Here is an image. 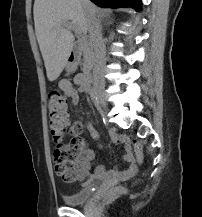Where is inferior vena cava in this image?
Returning <instances> with one entry per match:
<instances>
[{
    "mask_svg": "<svg viewBox=\"0 0 202 217\" xmlns=\"http://www.w3.org/2000/svg\"><path fill=\"white\" fill-rule=\"evenodd\" d=\"M101 26L98 19L94 15L89 16L88 32L90 36V42L94 50V68L93 78L94 85H104V67L106 64L105 46L102 38Z\"/></svg>",
    "mask_w": 202,
    "mask_h": 217,
    "instance_id": "obj_1",
    "label": "inferior vena cava"
}]
</instances>
